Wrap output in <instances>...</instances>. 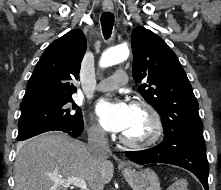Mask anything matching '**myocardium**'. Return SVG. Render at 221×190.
Here are the masks:
<instances>
[{
  "instance_id": "myocardium-1",
  "label": "myocardium",
  "mask_w": 221,
  "mask_h": 190,
  "mask_svg": "<svg viewBox=\"0 0 221 190\" xmlns=\"http://www.w3.org/2000/svg\"><path fill=\"white\" fill-rule=\"evenodd\" d=\"M132 107L141 109L148 115L150 121L148 134L145 138L139 140H134L121 134L120 141L124 145L134 149H145L155 145L163 133V123L159 112L150 102L144 99L134 100Z\"/></svg>"
}]
</instances>
